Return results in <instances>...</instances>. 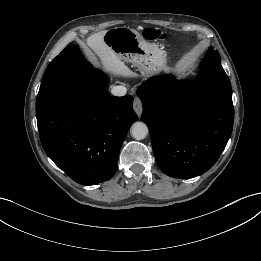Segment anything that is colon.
Here are the masks:
<instances>
[{
    "instance_id": "5ec220e1",
    "label": "colon",
    "mask_w": 261,
    "mask_h": 261,
    "mask_svg": "<svg viewBox=\"0 0 261 261\" xmlns=\"http://www.w3.org/2000/svg\"><path fill=\"white\" fill-rule=\"evenodd\" d=\"M144 36L150 40H164L167 35L157 29L147 28L144 30Z\"/></svg>"
}]
</instances>
